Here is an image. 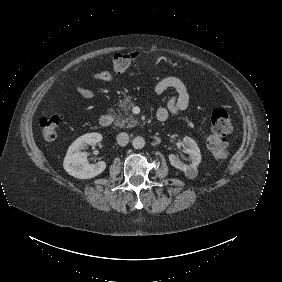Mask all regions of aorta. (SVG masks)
Wrapping results in <instances>:
<instances>
[{
	"label": "aorta",
	"mask_w": 282,
	"mask_h": 282,
	"mask_svg": "<svg viewBox=\"0 0 282 282\" xmlns=\"http://www.w3.org/2000/svg\"><path fill=\"white\" fill-rule=\"evenodd\" d=\"M132 146L135 149H142L145 146V139L142 136H136L132 140Z\"/></svg>",
	"instance_id": "aorta-1"
}]
</instances>
